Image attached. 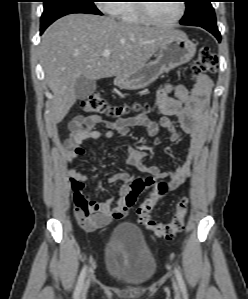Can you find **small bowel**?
I'll list each match as a JSON object with an SVG mask.
<instances>
[{"mask_svg": "<svg viewBox=\"0 0 248 299\" xmlns=\"http://www.w3.org/2000/svg\"><path fill=\"white\" fill-rule=\"evenodd\" d=\"M213 88L212 80L205 75H198L194 78V85L191 92H188L182 84H167L160 88L156 96V104L159 110L165 114L159 123L150 120L144 115H134L117 118L113 121L103 123L97 116H79L69 125V135L64 141L65 160L68 164L73 163L85 154L81 144L86 140L109 138L114 134L128 136L132 127L140 126L147 130L150 135H156L160 127L165 128L170 135L171 142H177L180 138L179 131L168 117L177 115L181 130L189 136L190 147L186 160L175 166L171 171H162L157 167H147L142 162L146 158L145 151L134 147L128 148V163L142 172L151 173L158 179L168 178L170 190L179 188L191 174L192 164L200 157L204 141V133L207 127L208 98ZM175 95L174 98L170 94ZM99 125L105 127V131L97 129ZM71 188L73 191L83 192L87 176L79 170H69ZM130 175L126 172L112 176L111 182L122 181L123 185L119 191L118 198H107L105 200H94L89 193L90 204L95 212L83 217L75 215L81 228L86 232H93L107 226L113 219L125 217L128 208L123 202V194L128 190ZM77 183L82 186L77 188ZM115 204V205H114ZM114 205V206H113Z\"/></svg>", "mask_w": 248, "mask_h": 299, "instance_id": "small-bowel-1", "label": "small bowel"}]
</instances>
